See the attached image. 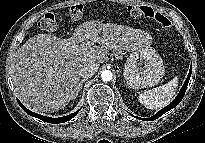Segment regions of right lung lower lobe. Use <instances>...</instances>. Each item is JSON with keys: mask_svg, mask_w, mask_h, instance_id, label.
I'll return each instance as SVG.
<instances>
[{"mask_svg": "<svg viewBox=\"0 0 205 143\" xmlns=\"http://www.w3.org/2000/svg\"><path fill=\"white\" fill-rule=\"evenodd\" d=\"M20 107L29 115L33 116V117H36L40 120H43L45 122H48V123H64V122H67L69 121L70 119H72L74 116H76V114L78 113V111L70 114V115H67V116H64V117H59V118H51V117H47V116H43V115H40V114H37V113H34L30 110H28L26 107H24L21 102L19 100H17Z\"/></svg>", "mask_w": 205, "mask_h": 143, "instance_id": "1", "label": "right lung lower lobe"}]
</instances>
